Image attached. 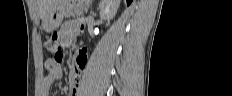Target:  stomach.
<instances>
[{
    "label": "stomach",
    "mask_w": 232,
    "mask_h": 96,
    "mask_svg": "<svg viewBox=\"0 0 232 96\" xmlns=\"http://www.w3.org/2000/svg\"><path fill=\"white\" fill-rule=\"evenodd\" d=\"M75 4V0H55L45 14L42 22L43 29L50 33L57 29L68 10Z\"/></svg>",
    "instance_id": "1"
}]
</instances>
